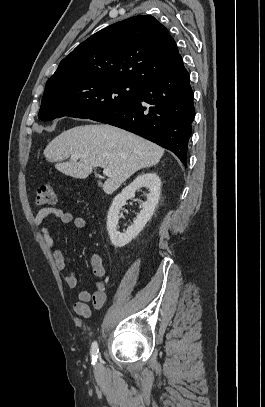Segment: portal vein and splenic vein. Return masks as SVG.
<instances>
[{
  "label": "portal vein and splenic vein",
  "mask_w": 265,
  "mask_h": 407,
  "mask_svg": "<svg viewBox=\"0 0 265 407\" xmlns=\"http://www.w3.org/2000/svg\"><path fill=\"white\" fill-rule=\"evenodd\" d=\"M79 157H80L79 155H72V156H71V159H72V160H76V159H78ZM103 174L106 175V176H111V175H112V172H111L110 169L105 168V169L103 170Z\"/></svg>",
  "instance_id": "18ae733b"
}]
</instances>
